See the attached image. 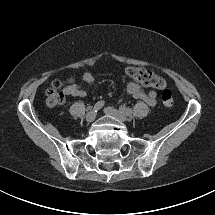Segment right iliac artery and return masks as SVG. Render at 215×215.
<instances>
[{
  "instance_id": "82829eb1",
  "label": "right iliac artery",
  "mask_w": 215,
  "mask_h": 215,
  "mask_svg": "<svg viewBox=\"0 0 215 215\" xmlns=\"http://www.w3.org/2000/svg\"><path fill=\"white\" fill-rule=\"evenodd\" d=\"M105 102L103 100L98 101L95 105H94V110L97 112L99 109H101L104 106Z\"/></svg>"
}]
</instances>
